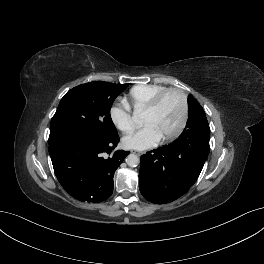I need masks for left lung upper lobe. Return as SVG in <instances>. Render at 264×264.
Wrapping results in <instances>:
<instances>
[{
    "instance_id": "left-lung-upper-lobe-1",
    "label": "left lung upper lobe",
    "mask_w": 264,
    "mask_h": 264,
    "mask_svg": "<svg viewBox=\"0 0 264 264\" xmlns=\"http://www.w3.org/2000/svg\"><path fill=\"white\" fill-rule=\"evenodd\" d=\"M188 110H189V117L184 131L186 129L196 130L204 125H208L203 108L192 95L188 96Z\"/></svg>"
}]
</instances>
